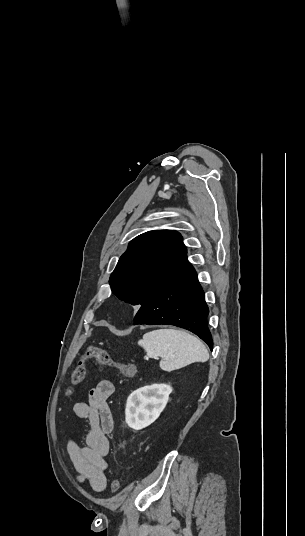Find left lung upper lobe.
<instances>
[{"label": "left lung upper lobe", "instance_id": "1", "mask_svg": "<svg viewBox=\"0 0 305 536\" xmlns=\"http://www.w3.org/2000/svg\"><path fill=\"white\" fill-rule=\"evenodd\" d=\"M190 266L177 231H148L129 243L109 283L120 300L142 306Z\"/></svg>", "mask_w": 305, "mask_h": 536}]
</instances>
